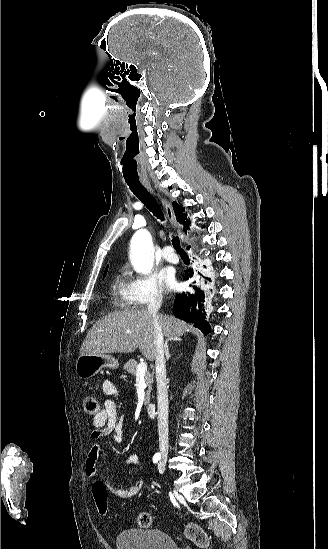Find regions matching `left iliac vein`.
Wrapping results in <instances>:
<instances>
[{
  "label": "left iliac vein",
  "instance_id": "1",
  "mask_svg": "<svg viewBox=\"0 0 328 549\" xmlns=\"http://www.w3.org/2000/svg\"><path fill=\"white\" fill-rule=\"evenodd\" d=\"M158 470L160 473H163L164 470H165V462L164 461H160L159 464H158Z\"/></svg>",
  "mask_w": 328,
  "mask_h": 549
}]
</instances>
